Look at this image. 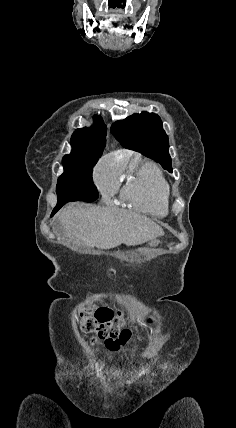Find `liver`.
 I'll return each instance as SVG.
<instances>
[{"mask_svg":"<svg viewBox=\"0 0 236 428\" xmlns=\"http://www.w3.org/2000/svg\"><path fill=\"white\" fill-rule=\"evenodd\" d=\"M66 236H73L90 248L110 250L120 244L137 246L164 236L161 226L135 212H117L113 208H90L68 204L58 214Z\"/></svg>","mask_w":236,"mask_h":428,"instance_id":"liver-1","label":"liver"}]
</instances>
